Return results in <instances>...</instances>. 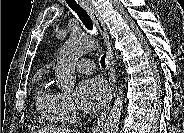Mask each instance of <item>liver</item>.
I'll return each instance as SVG.
<instances>
[{"label": "liver", "mask_w": 184, "mask_h": 133, "mask_svg": "<svg viewBox=\"0 0 184 133\" xmlns=\"http://www.w3.org/2000/svg\"><path fill=\"white\" fill-rule=\"evenodd\" d=\"M32 133H72L71 130L68 129H56V128H40L32 130Z\"/></svg>", "instance_id": "1"}]
</instances>
